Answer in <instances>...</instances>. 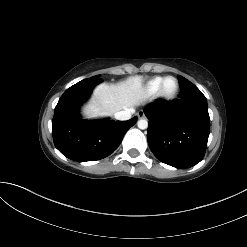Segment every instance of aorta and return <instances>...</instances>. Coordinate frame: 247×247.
Returning <instances> with one entry per match:
<instances>
[{"label": "aorta", "mask_w": 247, "mask_h": 247, "mask_svg": "<svg viewBox=\"0 0 247 247\" xmlns=\"http://www.w3.org/2000/svg\"><path fill=\"white\" fill-rule=\"evenodd\" d=\"M137 125H138V128L139 129H146L148 127V121L145 120V119H140L138 122H137Z\"/></svg>", "instance_id": "obj_1"}]
</instances>
